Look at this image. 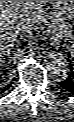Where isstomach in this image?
<instances>
[{"instance_id": "stomach-1", "label": "stomach", "mask_w": 74, "mask_h": 122, "mask_svg": "<svg viewBox=\"0 0 74 122\" xmlns=\"http://www.w3.org/2000/svg\"><path fill=\"white\" fill-rule=\"evenodd\" d=\"M56 20L71 19L74 15V1H52Z\"/></svg>"}]
</instances>
